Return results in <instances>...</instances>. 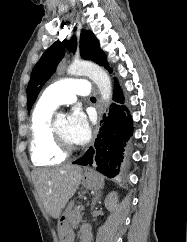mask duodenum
<instances>
[{
  "label": "duodenum",
  "mask_w": 187,
  "mask_h": 242,
  "mask_svg": "<svg viewBox=\"0 0 187 242\" xmlns=\"http://www.w3.org/2000/svg\"><path fill=\"white\" fill-rule=\"evenodd\" d=\"M82 242H90V236L89 235L82 236Z\"/></svg>",
  "instance_id": "1"
}]
</instances>
